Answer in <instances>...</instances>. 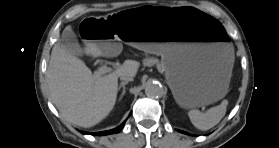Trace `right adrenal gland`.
<instances>
[{
  "mask_svg": "<svg viewBox=\"0 0 279 148\" xmlns=\"http://www.w3.org/2000/svg\"><path fill=\"white\" fill-rule=\"evenodd\" d=\"M127 83H128V81L121 82V84H120L119 87H118V91H120V89L123 88L122 93H121V95H120V97H119V101H121V99L123 98V96H124V94H125V92H126V90H125V85H126Z\"/></svg>",
  "mask_w": 279,
  "mask_h": 148,
  "instance_id": "obj_1",
  "label": "right adrenal gland"
}]
</instances>
